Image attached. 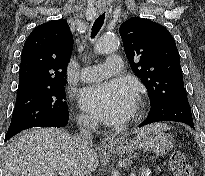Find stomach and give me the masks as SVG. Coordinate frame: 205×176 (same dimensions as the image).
<instances>
[{"instance_id":"1","label":"stomach","mask_w":205,"mask_h":176,"mask_svg":"<svg viewBox=\"0 0 205 176\" xmlns=\"http://www.w3.org/2000/svg\"><path fill=\"white\" fill-rule=\"evenodd\" d=\"M166 126L150 125L139 131L134 139H119L109 149L112 154L123 155L137 149L150 150L157 156L167 154L174 145L172 135L165 132Z\"/></svg>"}]
</instances>
